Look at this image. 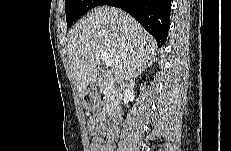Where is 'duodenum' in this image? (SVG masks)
<instances>
[{"mask_svg":"<svg viewBox=\"0 0 231 151\" xmlns=\"http://www.w3.org/2000/svg\"><path fill=\"white\" fill-rule=\"evenodd\" d=\"M121 111L118 109H111L107 114V118L112 121H119L121 119Z\"/></svg>","mask_w":231,"mask_h":151,"instance_id":"obj_1","label":"duodenum"}]
</instances>
